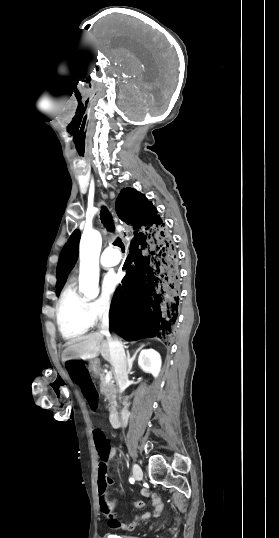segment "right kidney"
I'll return each instance as SVG.
<instances>
[{
	"instance_id": "ca27d5eb",
	"label": "right kidney",
	"mask_w": 279,
	"mask_h": 538,
	"mask_svg": "<svg viewBox=\"0 0 279 538\" xmlns=\"http://www.w3.org/2000/svg\"><path fill=\"white\" fill-rule=\"evenodd\" d=\"M138 364L143 372L153 374L154 378H157L161 370V356L155 350H142L139 354Z\"/></svg>"
}]
</instances>
